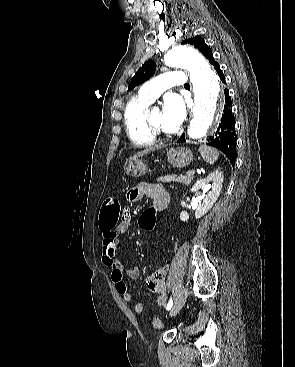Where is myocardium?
<instances>
[{
	"instance_id": "obj_1",
	"label": "myocardium",
	"mask_w": 295,
	"mask_h": 367,
	"mask_svg": "<svg viewBox=\"0 0 295 367\" xmlns=\"http://www.w3.org/2000/svg\"><path fill=\"white\" fill-rule=\"evenodd\" d=\"M146 125L149 130V132L155 137V138H163L166 137L168 134L166 131L162 130L161 128L157 127L151 120L150 114H146Z\"/></svg>"
}]
</instances>
